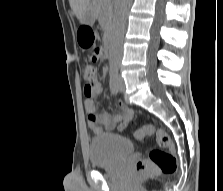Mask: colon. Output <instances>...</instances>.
<instances>
[{
    "label": "colon",
    "instance_id": "colon-1",
    "mask_svg": "<svg viewBox=\"0 0 223 191\" xmlns=\"http://www.w3.org/2000/svg\"><path fill=\"white\" fill-rule=\"evenodd\" d=\"M78 41L83 49L87 50L92 58L99 55V49L95 41V33L89 26H84L78 34ZM96 77V68L92 64L84 67V79L87 84H92ZM154 135L157 147L153 148L146 160H139L134 166L137 174H152L159 171L162 174H173L177 170V160L174 156V145L170 137L162 130H155L151 124H146L135 133L136 138Z\"/></svg>",
    "mask_w": 223,
    "mask_h": 191
}]
</instances>
